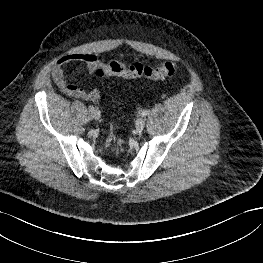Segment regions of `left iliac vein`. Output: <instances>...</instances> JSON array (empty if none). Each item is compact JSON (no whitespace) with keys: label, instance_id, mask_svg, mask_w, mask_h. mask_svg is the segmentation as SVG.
Returning <instances> with one entry per match:
<instances>
[{"label":"left iliac vein","instance_id":"4c4485c4","mask_svg":"<svg viewBox=\"0 0 263 263\" xmlns=\"http://www.w3.org/2000/svg\"><path fill=\"white\" fill-rule=\"evenodd\" d=\"M135 125L138 131H142L145 127V119L144 118L137 119Z\"/></svg>","mask_w":263,"mask_h":263}]
</instances>
